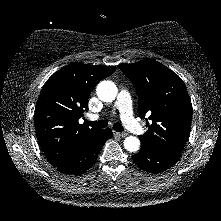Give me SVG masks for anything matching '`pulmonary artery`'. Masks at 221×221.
<instances>
[{
	"label": "pulmonary artery",
	"mask_w": 221,
	"mask_h": 221,
	"mask_svg": "<svg viewBox=\"0 0 221 221\" xmlns=\"http://www.w3.org/2000/svg\"><path fill=\"white\" fill-rule=\"evenodd\" d=\"M114 107L119 110L121 120L129 131L138 135L145 132L143 126L133 116L131 97L127 90L122 89L119 92ZM97 118L98 115L90 116L91 120H96Z\"/></svg>",
	"instance_id": "pulmonary-artery-1"
}]
</instances>
